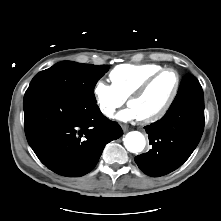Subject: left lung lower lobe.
<instances>
[{
  "mask_svg": "<svg viewBox=\"0 0 221 221\" xmlns=\"http://www.w3.org/2000/svg\"><path fill=\"white\" fill-rule=\"evenodd\" d=\"M204 129V98L199 81L183 80L167 113L145 126L152 149L135 157L147 175L159 177L180 167L198 145Z\"/></svg>",
  "mask_w": 221,
  "mask_h": 221,
  "instance_id": "1",
  "label": "left lung lower lobe"
}]
</instances>
